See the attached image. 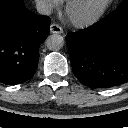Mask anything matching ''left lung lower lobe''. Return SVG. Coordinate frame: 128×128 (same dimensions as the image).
Wrapping results in <instances>:
<instances>
[{"label": "left lung lower lobe", "mask_w": 128, "mask_h": 128, "mask_svg": "<svg viewBox=\"0 0 128 128\" xmlns=\"http://www.w3.org/2000/svg\"><path fill=\"white\" fill-rule=\"evenodd\" d=\"M74 75L90 88L128 82V6L66 37Z\"/></svg>", "instance_id": "1"}]
</instances>
